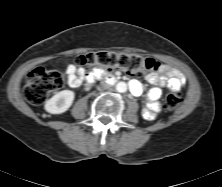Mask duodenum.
Wrapping results in <instances>:
<instances>
[{
    "label": "duodenum",
    "instance_id": "410a0bca",
    "mask_svg": "<svg viewBox=\"0 0 222 187\" xmlns=\"http://www.w3.org/2000/svg\"><path fill=\"white\" fill-rule=\"evenodd\" d=\"M103 74L104 73H102V72H96V73L92 74L91 76H89V80H95V79L103 76ZM104 78L109 83H114V82H116L118 80L117 76L111 75V74L104 75Z\"/></svg>",
    "mask_w": 222,
    "mask_h": 187
}]
</instances>
